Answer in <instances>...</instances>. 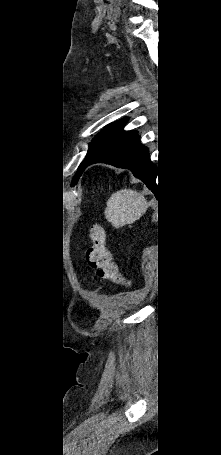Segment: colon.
I'll return each instance as SVG.
<instances>
[{"label": "colon", "instance_id": "5ec220e1", "mask_svg": "<svg viewBox=\"0 0 221 455\" xmlns=\"http://www.w3.org/2000/svg\"><path fill=\"white\" fill-rule=\"evenodd\" d=\"M90 240L91 245L86 253L89 266L96 271L100 279L125 284L126 279L111 258L106 245L105 233L100 226L96 225L91 229Z\"/></svg>", "mask_w": 221, "mask_h": 455}]
</instances>
